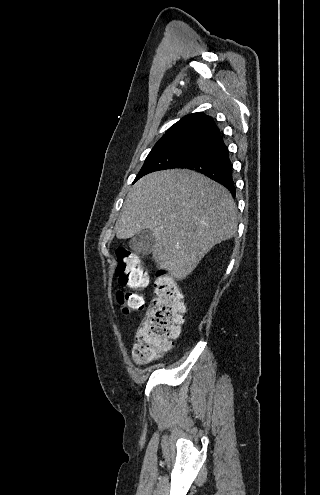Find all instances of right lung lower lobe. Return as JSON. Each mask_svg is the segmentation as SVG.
Returning a JSON list of instances; mask_svg holds the SVG:
<instances>
[{
	"label": "right lung lower lobe",
	"mask_w": 320,
	"mask_h": 495,
	"mask_svg": "<svg viewBox=\"0 0 320 495\" xmlns=\"http://www.w3.org/2000/svg\"><path fill=\"white\" fill-rule=\"evenodd\" d=\"M177 168L200 172L225 186L235 196L232 164L220 133L206 141L195 154Z\"/></svg>",
	"instance_id": "1"
}]
</instances>
